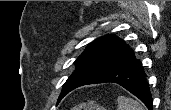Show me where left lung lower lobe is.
Returning <instances> with one entry per match:
<instances>
[{"instance_id":"left-lung-lower-lobe-1","label":"left lung lower lobe","mask_w":171,"mask_h":110,"mask_svg":"<svg viewBox=\"0 0 171 110\" xmlns=\"http://www.w3.org/2000/svg\"><path fill=\"white\" fill-rule=\"evenodd\" d=\"M142 68L141 62L136 60L133 55L120 65L105 71L83 85L106 82L117 83L138 97L149 110H153L152 96L147 87Z\"/></svg>"}]
</instances>
